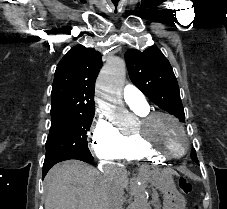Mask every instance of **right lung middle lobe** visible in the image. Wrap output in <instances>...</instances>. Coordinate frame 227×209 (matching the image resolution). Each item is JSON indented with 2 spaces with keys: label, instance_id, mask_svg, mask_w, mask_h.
<instances>
[{
  "label": "right lung middle lobe",
  "instance_id": "right-lung-middle-lobe-1",
  "mask_svg": "<svg viewBox=\"0 0 227 209\" xmlns=\"http://www.w3.org/2000/svg\"><path fill=\"white\" fill-rule=\"evenodd\" d=\"M81 99H67L59 102L51 111V127L46 142V156L43 172L49 170L50 162L63 156H92L88 149L87 131L94 117V109L76 110L86 106Z\"/></svg>",
  "mask_w": 227,
  "mask_h": 209
}]
</instances>
